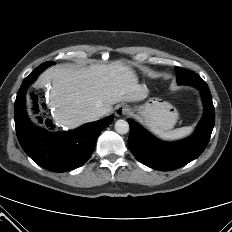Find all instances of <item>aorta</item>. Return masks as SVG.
<instances>
[{
  "mask_svg": "<svg viewBox=\"0 0 232 232\" xmlns=\"http://www.w3.org/2000/svg\"><path fill=\"white\" fill-rule=\"evenodd\" d=\"M115 130L119 134H126L129 131V124L123 119H119L115 122Z\"/></svg>",
  "mask_w": 232,
  "mask_h": 232,
  "instance_id": "obj_1",
  "label": "aorta"
}]
</instances>
